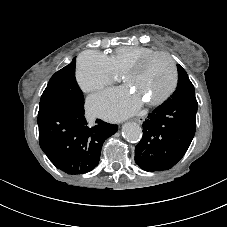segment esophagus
<instances>
[{"instance_id":"obj_1","label":"esophagus","mask_w":227,"mask_h":227,"mask_svg":"<svg viewBox=\"0 0 227 227\" xmlns=\"http://www.w3.org/2000/svg\"><path fill=\"white\" fill-rule=\"evenodd\" d=\"M135 122H137L138 124H142L144 121H145V118L144 117H137L134 119Z\"/></svg>"}]
</instances>
